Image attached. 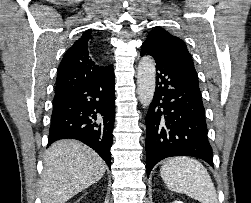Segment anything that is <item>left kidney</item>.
Segmentation results:
<instances>
[{"label":"left kidney","mask_w":251,"mask_h":203,"mask_svg":"<svg viewBox=\"0 0 251 203\" xmlns=\"http://www.w3.org/2000/svg\"><path fill=\"white\" fill-rule=\"evenodd\" d=\"M173 203H183L182 201H174Z\"/></svg>","instance_id":"obj_1"}]
</instances>
